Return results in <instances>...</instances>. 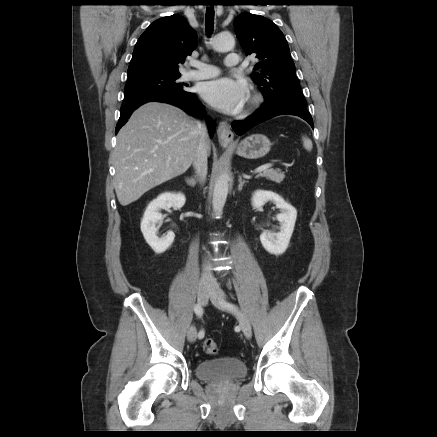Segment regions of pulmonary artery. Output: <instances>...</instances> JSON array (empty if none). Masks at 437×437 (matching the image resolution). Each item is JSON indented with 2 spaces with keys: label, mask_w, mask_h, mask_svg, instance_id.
Instances as JSON below:
<instances>
[{
  "label": "pulmonary artery",
  "mask_w": 437,
  "mask_h": 437,
  "mask_svg": "<svg viewBox=\"0 0 437 437\" xmlns=\"http://www.w3.org/2000/svg\"><path fill=\"white\" fill-rule=\"evenodd\" d=\"M240 64V57L236 53H229L225 59V65L227 67L233 68ZM195 69L190 70L186 73V78L188 80H202L216 77L219 75V69L211 64L204 62H194L192 64Z\"/></svg>",
  "instance_id": "obj_1"
}]
</instances>
